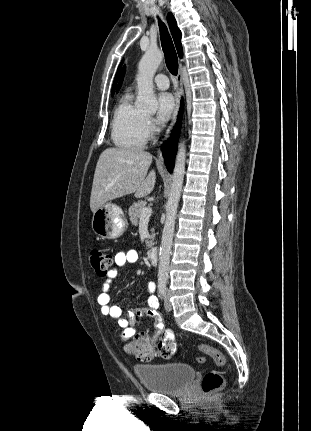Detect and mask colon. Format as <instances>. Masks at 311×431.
Wrapping results in <instances>:
<instances>
[{
  "mask_svg": "<svg viewBox=\"0 0 311 431\" xmlns=\"http://www.w3.org/2000/svg\"><path fill=\"white\" fill-rule=\"evenodd\" d=\"M89 260L92 268L98 276H107L109 267L112 263V255L108 251L98 248L92 249L89 255ZM124 350L141 361H150L154 358L156 353H159L165 358L172 356L176 351V345L172 338L165 337L156 346H154L150 343L148 338L143 335H138L125 343ZM198 350L213 358L219 367L226 365V358L218 349L202 344L198 346ZM196 360L198 363H204L205 357L199 356ZM223 385L224 378L218 371L207 372L201 383L202 390L205 395L221 389Z\"/></svg>",
  "mask_w": 311,
  "mask_h": 431,
  "instance_id": "1",
  "label": "colon"
}]
</instances>
